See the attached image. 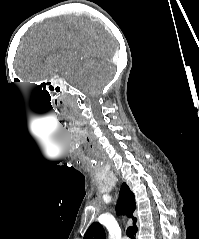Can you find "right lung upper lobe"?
I'll list each match as a JSON object with an SVG mask.
<instances>
[{
    "instance_id": "cb5924a9",
    "label": "right lung upper lobe",
    "mask_w": 199,
    "mask_h": 239,
    "mask_svg": "<svg viewBox=\"0 0 199 239\" xmlns=\"http://www.w3.org/2000/svg\"><path fill=\"white\" fill-rule=\"evenodd\" d=\"M135 196L131 192L130 188L126 183H123L121 186L119 200H118V210L125 213L128 217L133 218L136 223V218L133 217V212L135 210ZM136 228V226H134ZM83 239H105L104 230L100 223L95 222L90 225L86 231Z\"/></svg>"
}]
</instances>
